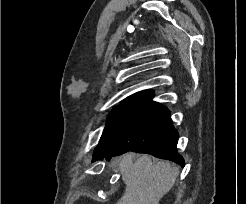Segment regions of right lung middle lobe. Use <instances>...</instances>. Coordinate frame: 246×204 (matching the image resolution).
I'll list each match as a JSON object with an SVG mask.
<instances>
[{
    "label": "right lung middle lobe",
    "mask_w": 246,
    "mask_h": 204,
    "mask_svg": "<svg viewBox=\"0 0 246 204\" xmlns=\"http://www.w3.org/2000/svg\"><path fill=\"white\" fill-rule=\"evenodd\" d=\"M134 103L133 101H123L121 105L112 110L100 142L94 150L93 157H101L108 152L116 139L125 115Z\"/></svg>",
    "instance_id": "1"
}]
</instances>
